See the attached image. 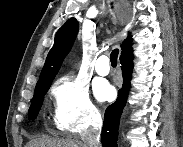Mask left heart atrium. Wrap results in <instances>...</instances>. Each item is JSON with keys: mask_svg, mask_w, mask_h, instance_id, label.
Masks as SVG:
<instances>
[{"mask_svg": "<svg viewBox=\"0 0 183 147\" xmlns=\"http://www.w3.org/2000/svg\"><path fill=\"white\" fill-rule=\"evenodd\" d=\"M94 94L99 101L108 100L113 95V88L107 81L99 80L94 84Z\"/></svg>", "mask_w": 183, "mask_h": 147, "instance_id": "39dd6f15", "label": "left heart atrium"}]
</instances>
